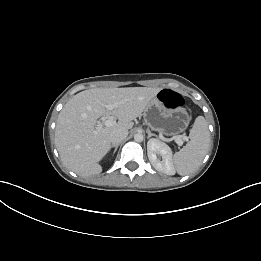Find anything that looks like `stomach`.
Returning a JSON list of instances; mask_svg holds the SVG:
<instances>
[{"label": "stomach", "mask_w": 261, "mask_h": 261, "mask_svg": "<svg viewBox=\"0 0 261 261\" xmlns=\"http://www.w3.org/2000/svg\"><path fill=\"white\" fill-rule=\"evenodd\" d=\"M143 115L150 128L167 136H175L185 131L190 122L186 109H168L157 97L149 102Z\"/></svg>", "instance_id": "0dacf381"}]
</instances>
